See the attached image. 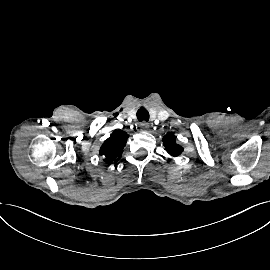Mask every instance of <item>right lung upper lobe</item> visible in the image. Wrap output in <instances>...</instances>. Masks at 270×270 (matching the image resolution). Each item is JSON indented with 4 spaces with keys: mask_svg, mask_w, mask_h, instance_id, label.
Listing matches in <instances>:
<instances>
[{
    "mask_svg": "<svg viewBox=\"0 0 270 270\" xmlns=\"http://www.w3.org/2000/svg\"><path fill=\"white\" fill-rule=\"evenodd\" d=\"M128 135L122 130H115L102 144L99 153L106 163L117 162L122 157Z\"/></svg>",
    "mask_w": 270,
    "mask_h": 270,
    "instance_id": "cb5924a9",
    "label": "right lung upper lobe"
}]
</instances>
